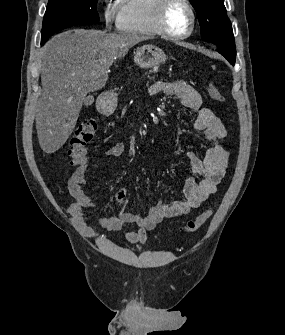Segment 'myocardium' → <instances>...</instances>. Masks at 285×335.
<instances>
[{"mask_svg":"<svg viewBox=\"0 0 285 335\" xmlns=\"http://www.w3.org/2000/svg\"><path fill=\"white\" fill-rule=\"evenodd\" d=\"M175 3L182 4L190 14L191 22L186 31L174 30L170 27L168 23L169 10L172 7V5ZM158 24H159V27L162 33L167 37L179 39V38L188 36L192 32L194 24H195V15L191 7V4L188 1H160V5L158 9Z\"/></svg>","mask_w":285,"mask_h":335,"instance_id":"myocardium-1","label":"myocardium"}]
</instances>
